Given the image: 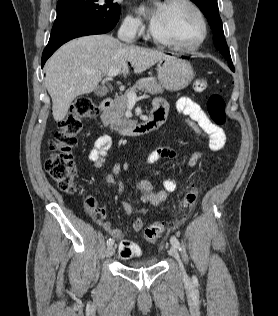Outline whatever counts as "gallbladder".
Wrapping results in <instances>:
<instances>
[{"label": "gallbladder", "mask_w": 278, "mask_h": 316, "mask_svg": "<svg viewBox=\"0 0 278 316\" xmlns=\"http://www.w3.org/2000/svg\"><path fill=\"white\" fill-rule=\"evenodd\" d=\"M106 93H107V90L103 87H98L95 89V94L98 96H104L106 95Z\"/></svg>", "instance_id": "bac80fb5"}]
</instances>
